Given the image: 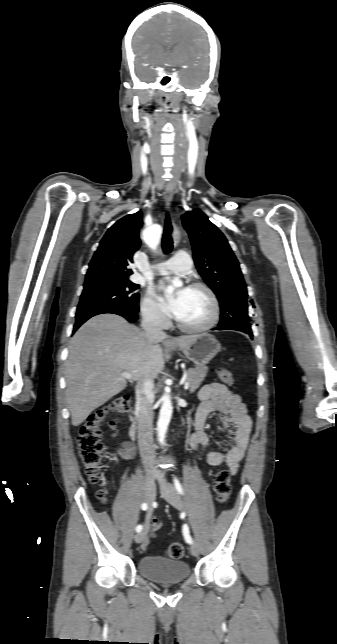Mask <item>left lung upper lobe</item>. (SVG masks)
I'll list each match as a JSON object with an SVG mask.
<instances>
[{
  "label": "left lung upper lobe",
  "instance_id": "5c2ea615",
  "mask_svg": "<svg viewBox=\"0 0 337 644\" xmlns=\"http://www.w3.org/2000/svg\"><path fill=\"white\" fill-rule=\"evenodd\" d=\"M182 220L191 240L196 268L219 300L221 319L218 327L252 337L246 284L227 239L198 209L182 215Z\"/></svg>",
  "mask_w": 337,
  "mask_h": 644
}]
</instances>
